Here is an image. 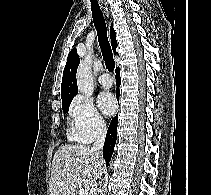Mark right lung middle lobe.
Returning <instances> with one entry per match:
<instances>
[{"mask_svg": "<svg viewBox=\"0 0 211 195\" xmlns=\"http://www.w3.org/2000/svg\"><path fill=\"white\" fill-rule=\"evenodd\" d=\"M70 103H71V101L62 103V109H63L64 113L68 112Z\"/></svg>", "mask_w": 211, "mask_h": 195, "instance_id": "obj_1", "label": "right lung middle lobe"}]
</instances>
